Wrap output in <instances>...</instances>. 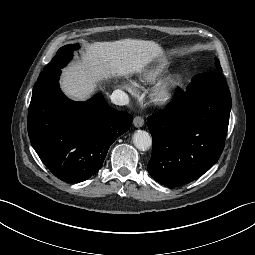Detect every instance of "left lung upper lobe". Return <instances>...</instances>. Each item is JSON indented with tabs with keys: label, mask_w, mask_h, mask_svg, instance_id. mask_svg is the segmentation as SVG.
Here are the masks:
<instances>
[{
	"label": "left lung upper lobe",
	"mask_w": 255,
	"mask_h": 255,
	"mask_svg": "<svg viewBox=\"0 0 255 255\" xmlns=\"http://www.w3.org/2000/svg\"><path fill=\"white\" fill-rule=\"evenodd\" d=\"M215 61H216V66L218 68V70L221 72L222 69H221V66H220V63H219V60L217 58H215Z\"/></svg>",
	"instance_id": "5c2ea615"
}]
</instances>
